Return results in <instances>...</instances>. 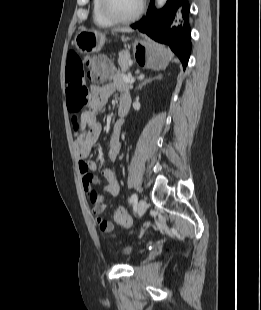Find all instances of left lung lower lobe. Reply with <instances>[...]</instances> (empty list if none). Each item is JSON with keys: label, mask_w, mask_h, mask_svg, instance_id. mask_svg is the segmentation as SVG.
Segmentation results:
<instances>
[{"label": "left lung lower lobe", "mask_w": 261, "mask_h": 310, "mask_svg": "<svg viewBox=\"0 0 261 310\" xmlns=\"http://www.w3.org/2000/svg\"><path fill=\"white\" fill-rule=\"evenodd\" d=\"M188 0H168L162 10L156 11L154 0H151L146 16L132 25L139 31L146 33L157 42L170 46L171 50L179 57L183 68L187 66L190 56V27L188 24ZM183 25L174 26L175 17L181 15Z\"/></svg>", "instance_id": "1"}]
</instances>
